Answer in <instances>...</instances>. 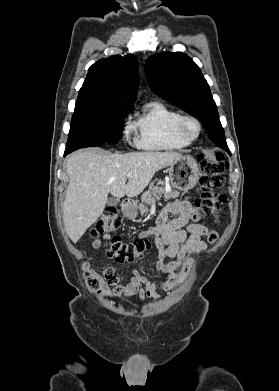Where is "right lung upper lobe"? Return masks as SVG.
Wrapping results in <instances>:
<instances>
[{
    "instance_id": "obj_1",
    "label": "right lung upper lobe",
    "mask_w": 279,
    "mask_h": 391,
    "mask_svg": "<svg viewBox=\"0 0 279 391\" xmlns=\"http://www.w3.org/2000/svg\"><path fill=\"white\" fill-rule=\"evenodd\" d=\"M138 60L133 54L114 55L94 63L75 104V112L131 108L139 84Z\"/></svg>"
}]
</instances>
